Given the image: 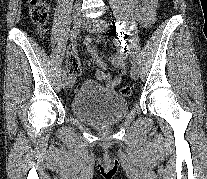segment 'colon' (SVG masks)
Segmentation results:
<instances>
[{"label": "colon", "instance_id": "obj_1", "mask_svg": "<svg viewBox=\"0 0 207 179\" xmlns=\"http://www.w3.org/2000/svg\"><path fill=\"white\" fill-rule=\"evenodd\" d=\"M30 19L37 27L40 34L45 33L46 25L49 20L50 6L46 0H30ZM68 71L71 75H76L80 71V67L75 63V57L70 56L68 59ZM123 96L131 94L130 86H124L120 90Z\"/></svg>", "mask_w": 207, "mask_h": 179}]
</instances>
